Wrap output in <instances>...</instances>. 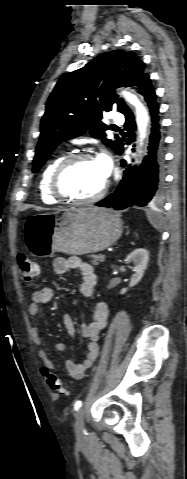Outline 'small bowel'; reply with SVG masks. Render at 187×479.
I'll return each instance as SVG.
<instances>
[{"label":"small bowel","mask_w":187,"mask_h":479,"mask_svg":"<svg viewBox=\"0 0 187 479\" xmlns=\"http://www.w3.org/2000/svg\"><path fill=\"white\" fill-rule=\"evenodd\" d=\"M53 268L57 274H66L71 270H78L80 274V282L78 286L79 294L84 298L92 296L97 282V277L92 265L77 256H71L68 258L59 257L54 259ZM54 293L55 291L52 287H44L34 292L32 295V302L28 306V313L30 316L35 318L40 317V305L50 302ZM109 315V306L106 302L100 301L96 304L90 319L81 325L80 333L82 337L87 340V345L84 350V360L82 362H76L71 358L65 360L66 371L74 380L80 382L85 377L87 371H89L94 365L99 353L100 332L105 327ZM63 324L69 337L73 338L76 330L75 322L70 314H64ZM31 336L34 344L38 348V356L43 362L41 374L45 377V373L48 371L54 373V364L45 349L42 347L43 340L40 329L38 327H33ZM55 350L59 353L68 354L69 346L66 343L59 342L55 344Z\"/></svg>","instance_id":"small-bowel-1"}]
</instances>
